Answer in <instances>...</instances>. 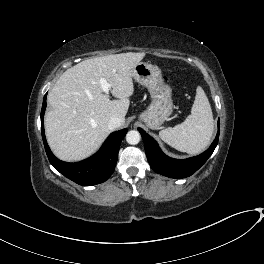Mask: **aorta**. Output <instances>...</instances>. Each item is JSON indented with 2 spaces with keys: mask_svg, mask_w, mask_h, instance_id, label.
<instances>
[{
  "mask_svg": "<svg viewBox=\"0 0 264 264\" xmlns=\"http://www.w3.org/2000/svg\"><path fill=\"white\" fill-rule=\"evenodd\" d=\"M140 133L136 130H131L126 134V141L128 144L136 145L140 142Z\"/></svg>",
  "mask_w": 264,
  "mask_h": 264,
  "instance_id": "obj_1",
  "label": "aorta"
}]
</instances>
